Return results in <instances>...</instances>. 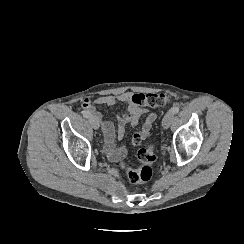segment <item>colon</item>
<instances>
[{
	"label": "colon",
	"mask_w": 244,
	"mask_h": 244,
	"mask_svg": "<svg viewBox=\"0 0 244 244\" xmlns=\"http://www.w3.org/2000/svg\"><path fill=\"white\" fill-rule=\"evenodd\" d=\"M132 102L137 107L156 108L165 106L170 102V98L166 93L149 92L138 93L132 96ZM143 136L140 132H136L131 136L132 145H139ZM157 141H152L141 148L137 155L136 167L121 163L122 169L125 171L127 179L130 183H142L147 181L153 174L152 166L156 161Z\"/></svg>",
	"instance_id": "1"
}]
</instances>
